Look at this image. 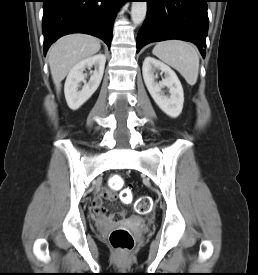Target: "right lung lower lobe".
I'll return each instance as SVG.
<instances>
[{"label":"right lung lower lobe","instance_id":"obj_1","mask_svg":"<svg viewBox=\"0 0 258 275\" xmlns=\"http://www.w3.org/2000/svg\"><path fill=\"white\" fill-rule=\"evenodd\" d=\"M127 0H43L44 54L50 45L69 33H87L111 45L119 6Z\"/></svg>","mask_w":258,"mask_h":275}]
</instances>
